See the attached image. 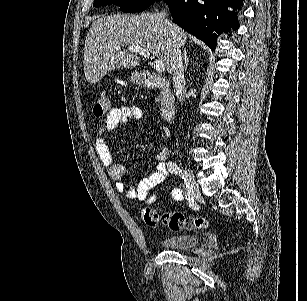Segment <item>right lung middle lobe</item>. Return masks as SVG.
Segmentation results:
<instances>
[{"label":"right lung middle lobe","instance_id":"1","mask_svg":"<svg viewBox=\"0 0 307 301\" xmlns=\"http://www.w3.org/2000/svg\"><path fill=\"white\" fill-rule=\"evenodd\" d=\"M155 0H95L94 7H100L108 4L120 6V10L127 13L142 12L149 7Z\"/></svg>","mask_w":307,"mask_h":301}]
</instances>
